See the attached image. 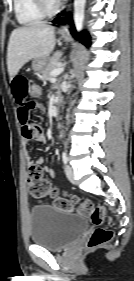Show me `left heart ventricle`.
Segmentation results:
<instances>
[{
    "mask_svg": "<svg viewBox=\"0 0 134 281\" xmlns=\"http://www.w3.org/2000/svg\"><path fill=\"white\" fill-rule=\"evenodd\" d=\"M50 3H55L56 0H48Z\"/></svg>",
    "mask_w": 134,
    "mask_h": 281,
    "instance_id": "b2bd125f",
    "label": "left heart ventricle"
}]
</instances>
